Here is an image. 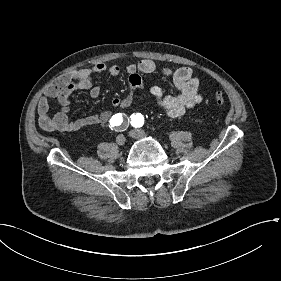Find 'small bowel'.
<instances>
[{
    "label": "small bowel",
    "instance_id": "1",
    "mask_svg": "<svg viewBox=\"0 0 281 281\" xmlns=\"http://www.w3.org/2000/svg\"><path fill=\"white\" fill-rule=\"evenodd\" d=\"M156 70L154 61L146 59L139 63H131L126 67L129 77V92L124 97H115L111 100L113 109H127L132 104L133 93L143 87L140 74H151ZM108 73L111 76H119V66H107L100 62L93 67L70 72L58 77L46 90L45 96L38 101V117L40 127L47 132H74L83 128L105 124L113 116L111 110H105L100 114L89 115L78 119H69L71 95L77 90H87L91 98L96 99L100 95L99 86L93 83L96 74ZM163 73L171 76L177 90L175 95H164L161 88L154 86L150 89L159 108L171 118L183 116L189 109L200 104L202 96L198 92L199 79L190 68L181 67L176 70L164 69ZM49 98L57 99L60 111L55 115L49 114Z\"/></svg>",
    "mask_w": 281,
    "mask_h": 281
}]
</instances>
